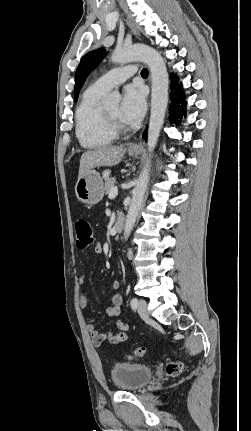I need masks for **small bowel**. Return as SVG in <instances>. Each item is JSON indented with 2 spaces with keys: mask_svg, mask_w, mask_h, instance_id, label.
Segmentation results:
<instances>
[{
  "mask_svg": "<svg viewBox=\"0 0 251 431\" xmlns=\"http://www.w3.org/2000/svg\"><path fill=\"white\" fill-rule=\"evenodd\" d=\"M95 252L101 253L102 247L101 245L95 246ZM85 281V274L80 273L78 277V282L80 285H82ZM120 287L119 281H114L112 283V288L114 290H117ZM123 303V298L119 294H114L110 298V305L106 308V313L111 318H116L121 313V306ZM79 306L81 309H85L88 306V299L86 295L84 294L83 290H80L79 294ZM85 321L87 323V330L90 334L92 343L94 346L99 347L103 343H109V344H120L128 339V330L129 325L126 322H123L121 320L116 321V327L118 329L117 332H108V333H102L98 331L94 325L95 319L92 316H86Z\"/></svg>",
  "mask_w": 251,
  "mask_h": 431,
  "instance_id": "obj_1",
  "label": "small bowel"
}]
</instances>
